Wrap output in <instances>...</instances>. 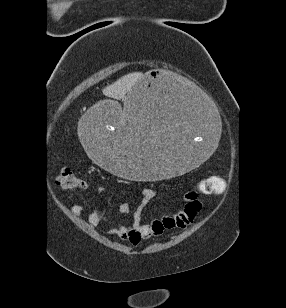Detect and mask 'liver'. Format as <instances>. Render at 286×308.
<instances>
[{
  "mask_svg": "<svg viewBox=\"0 0 286 308\" xmlns=\"http://www.w3.org/2000/svg\"><path fill=\"white\" fill-rule=\"evenodd\" d=\"M142 73L135 72L127 74L116 82L112 83L105 87L102 91L103 94L107 97L119 100L124 99V103L126 105V97L127 94L132 90V88L136 85V83L141 79ZM120 113V123L125 124L128 118L127 111H121L120 107H118ZM100 114V113H98Z\"/></svg>",
  "mask_w": 286,
  "mask_h": 308,
  "instance_id": "obj_1",
  "label": "liver"
}]
</instances>
